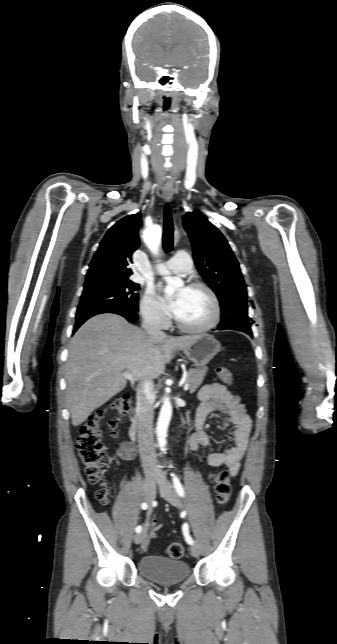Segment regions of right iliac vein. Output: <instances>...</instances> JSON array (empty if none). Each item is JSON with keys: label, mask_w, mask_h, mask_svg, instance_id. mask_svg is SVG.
<instances>
[{"label": "right iliac vein", "mask_w": 337, "mask_h": 644, "mask_svg": "<svg viewBox=\"0 0 337 644\" xmlns=\"http://www.w3.org/2000/svg\"><path fill=\"white\" fill-rule=\"evenodd\" d=\"M155 495H156V477L150 476L145 481V488H144L145 501L151 504L155 498ZM145 536H146V530H143L142 532L135 535L134 536L135 544H140L145 538Z\"/></svg>", "instance_id": "1"}]
</instances>
